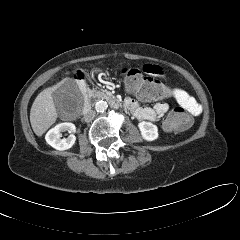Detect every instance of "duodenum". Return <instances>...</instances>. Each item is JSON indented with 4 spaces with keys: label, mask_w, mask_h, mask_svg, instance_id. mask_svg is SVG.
<instances>
[{
    "label": "duodenum",
    "mask_w": 240,
    "mask_h": 240,
    "mask_svg": "<svg viewBox=\"0 0 240 240\" xmlns=\"http://www.w3.org/2000/svg\"><path fill=\"white\" fill-rule=\"evenodd\" d=\"M79 87L84 94V106H83V113L86 114L90 109L91 104V96L88 92L87 85L83 78H79ZM103 97L110 103V105L114 108H118L121 105V102L111 94H105ZM126 106V104L124 103Z\"/></svg>",
    "instance_id": "410a0bca"
}]
</instances>
